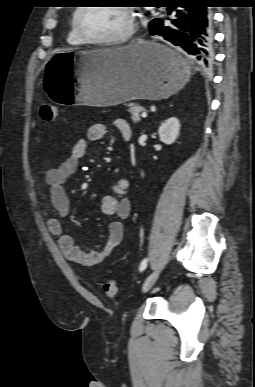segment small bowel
Returning a JSON list of instances; mask_svg holds the SVG:
<instances>
[{"mask_svg": "<svg viewBox=\"0 0 255 387\" xmlns=\"http://www.w3.org/2000/svg\"><path fill=\"white\" fill-rule=\"evenodd\" d=\"M113 126L122 137L125 134L131 136L130 126L124 119L114 120ZM108 131L109 126L106 123L92 124L88 128L86 136L80 138L72 146L67 158L58 166L45 172L44 183L48 187L51 205L61 218H67L70 213V200L64 187L66 181L76 172L80 162L86 156L88 143L103 139ZM129 188L130 181L126 178H120L112 186L111 192L103 197L102 213L115 219L109 225L106 242L97 251H85L78 247L73 237L65 232L63 223L59 218L51 217L47 220L49 232L58 237L59 249L69 261L85 267L97 266L120 245L124 235L123 221L131 213V202L126 198Z\"/></svg>", "mask_w": 255, "mask_h": 387, "instance_id": "small-bowel-1", "label": "small bowel"}]
</instances>
